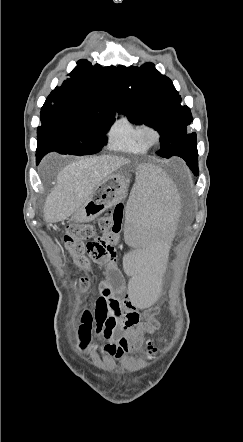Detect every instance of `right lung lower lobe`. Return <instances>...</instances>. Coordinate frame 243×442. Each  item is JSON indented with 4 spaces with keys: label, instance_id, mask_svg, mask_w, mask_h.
I'll return each mask as SVG.
<instances>
[{
    "label": "right lung lower lobe",
    "instance_id": "obj_1",
    "mask_svg": "<svg viewBox=\"0 0 243 442\" xmlns=\"http://www.w3.org/2000/svg\"><path fill=\"white\" fill-rule=\"evenodd\" d=\"M41 159H42L41 156H36L37 163H39Z\"/></svg>",
    "mask_w": 243,
    "mask_h": 442
}]
</instances>
